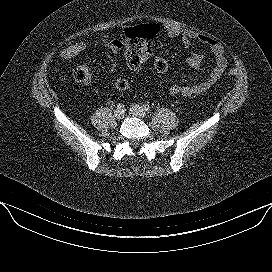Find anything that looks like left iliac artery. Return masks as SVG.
Wrapping results in <instances>:
<instances>
[{"mask_svg": "<svg viewBox=\"0 0 272 272\" xmlns=\"http://www.w3.org/2000/svg\"><path fill=\"white\" fill-rule=\"evenodd\" d=\"M143 109H144L145 111H147V112H149V111L151 110L150 106L147 105V104H144V105H143Z\"/></svg>", "mask_w": 272, "mask_h": 272, "instance_id": "left-iliac-artery-1", "label": "left iliac artery"}]
</instances>
